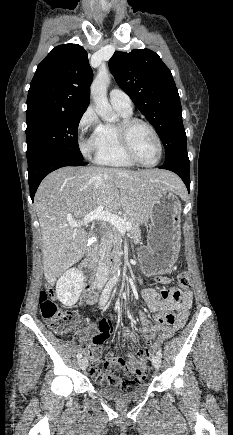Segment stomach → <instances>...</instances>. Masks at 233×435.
<instances>
[{
    "label": "stomach",
    "mask_w": 233,
    "mask_h": 435,
    "mask_svg": "<svg viewBox=\"0 0 233 435\" xmlns=\"http://www.w3.org/2000/svg\"><path fill=\"white\" fill-rule=\"evenodd\" d=\"M181 202L174 191L158 196L148 217L147 246L138 251L144 275L169 273L178 257L181 236Z\"/></svg>",
    "instance_id": "obj_1"
}]
</instances>
